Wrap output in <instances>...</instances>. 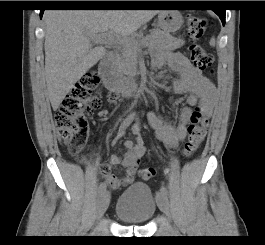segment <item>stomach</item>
Masks as SVG:
<instances>
[{
  "mask_svg": "<svg viewBox=\"0 0 265 245\" xmlns=\"http://www.w3.org/2000/svg\"><path fill=\"white\" fill-rule=\"evenodd\" d=\"M183 24V17L179 11H161L158 14V26L165 33L176 32Z\"/></svg>",
  "mask_w": 265,
  "mask_h": 245,
  "instance_id": "stomach-1",
  "label": "stomach"
}]
</instances>
